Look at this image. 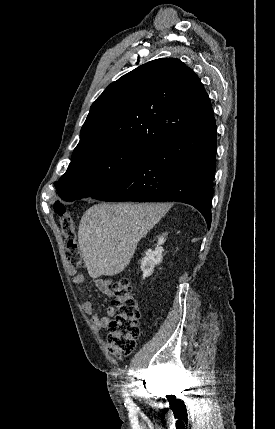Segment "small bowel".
I'll list each match as a JSON object with an SVG mask.
<instances>
[{
  "label": "small bowel",
  "mask_w": 275,
  "mask_h": 429,
  "mask_svg": "<svg viewBox=\"0 0 275 429\" xmlns=\"http://www.w3.org/2000/svg\"><path fill=\"white\" fill-rule=\"evenodd\" d=\"M72 281L75 285H81L84 282V276L82 274H75L73 273ZM93 282L96 284V286L106 295L112 296V290L109 285V283L102 279V278H94ZM82 310L87 315L91 316V322L96 326L97 328H106L109 326V324L112 322V318L115 314V308L110 306L107 310L106 316H101L94 312V306L91 301H84L81 305Z\"/></svg>",
  "instance_id": "1"
}]
</instances>
